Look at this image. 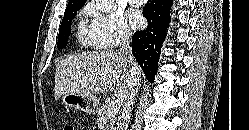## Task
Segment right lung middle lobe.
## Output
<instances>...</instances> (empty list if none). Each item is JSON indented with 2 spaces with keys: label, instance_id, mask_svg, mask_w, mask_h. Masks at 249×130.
Returning <instances> with one entry per match:
<instances>
[{
  "label": "right lung middle lobe",
  "instance_id": "right-lung-middle-lobe-1",
  "mask_svg": "<svg viewBox=\"0 0 249 130\" xmlns=\"http://www.w3.org/2000/svg\"><path fill=\"white\" fill-rule=\"evenodd\" d=\"M82 6L79 5H67L64 12V17L59 29V37L57 48L63 49L67 46V39L71 30V20L76 16L77 11L81 9Z\"/></svg>",
  "mask_w": 249,
  "mask_h": 130
}]
</instances>
